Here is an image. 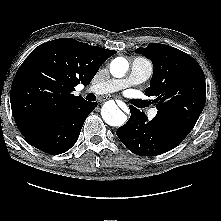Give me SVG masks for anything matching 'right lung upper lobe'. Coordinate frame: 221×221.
I'll return each mask as SVG.
<instances>
[{"instance_id":"obj_1","label":"right lung upper lobe","mask_w":221,"mask_h":221,"mask_svg":"<svg viewBox=\"0 0 221 221\" xmlns=\"http://www.w3.org/2000/svg\"><path fill=\"white\" fill-rule=\"evenodd\" d=\"M116 51L71 38L46 42L33 50L18 69L10 102L20 132L30 130L85 101L72 91L88 85L101 64Z\"/></svg>"}]
</instances>
